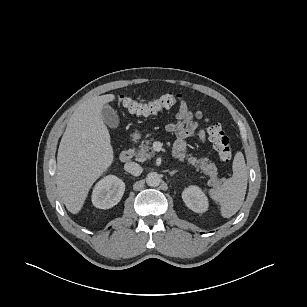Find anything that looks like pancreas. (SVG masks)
Instances as JSON below:
<instances>
[{
    "label": "pancreas",
    "mask_w": 307,
    "mask_h": 307,
    "mask_svg": "<svg viewBox=\"0 0 307 307\" xmlns=\"http://www.w3.org/2000/svg\"><path fill=\"white\" fill-rule=\"evenodd\" d=\"M153 140V139H151ZM150 141L144 140L141 145L139 146V150L136 152L135 157L136 160L139 162H144L147 159H150L155 155L154 150L152 147L149 146ZM188 160V164H191L195 166L197 169H200L204 172V174L208 175L210 177V185L219 187L222 183V179H219L217 177V168L214 163H211V161L204 157L197 159L196 157H193L192 154L188 155H181L180 160L184 161V159Z\"/></svg>",
    "instance_id": "1"
}]
</instances>
